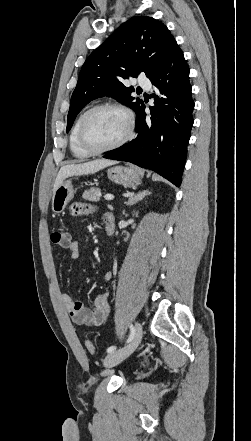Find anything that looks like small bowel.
<instances>
[{"mask_svg": "<svg viewBox=\"0 0 251 441\" xmlns=\"http://www.w3.org/2000/svg\"><path fill=\"white\" fill-rule=\"evenodd\" d=\"M92 211V207L87 204L73 206V213L76 215L89 214ZM109 217L114 218L111 214H105L104 221ZM67 248L71 259L77 260L80 258V247L77 241H72ZM112 279L113 274L110 271H106L102 276L105 283H111ZM60 299L70 318L77 325L98 327L104 325L107 321L110 311L107 292L99 294L90 307L85 306L80 300H74L67 293H62Z\"/></svg>", "mask_w": 251, "mask_h": 441, "instance_id": "small-bowel-1", "label": "small bowel"}]
</instances>
